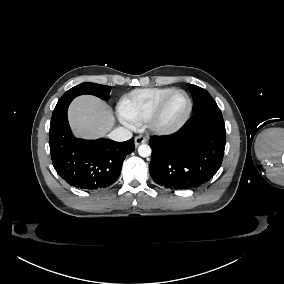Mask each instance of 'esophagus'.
<instances>
[{"instance_id": "34e87169", "label": "esophagus", "mask_w": 284, "mask_h": 284, "mask_svg": "<svg viewBox=\"0 0 284 284\" xmlns=\"http://www.w3.org/2000/svg\"><path fill=\"white\" fill-rule=\"evenodd\" d=\"M135 141V146H139L142 143H145L147 141V138L144 135H138L134 139Z\"/></svg>"}]
</instances>
